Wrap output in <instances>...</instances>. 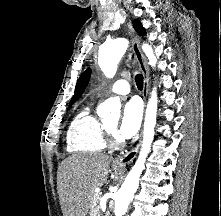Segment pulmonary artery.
<instances>
[{"label":"pulmonary artery","mask_w":221,"mask_h":216,"mask_svg":"<svg viewBox=\"0 0 221 216\" xmlns=\"http://www.w3.org/2000/svg\"><path fill=\"white\" fill-rule=\"evenodd\" d=\"M130 91V82L128 78H121L113 82L107 89L106 93H115L120 95L128 94ZM100 94V96L104 95Z\"/></svg>","instance_id":"e3ab8cb5"}]
</instances>
